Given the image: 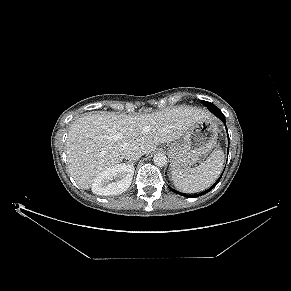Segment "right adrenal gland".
<instances>
[{
	"instance_id": "obj_1",
	"label": "right adrenal gland",
	"mask_w": 291,
	"mask_h": 291,
	"mask_svg": "<svg viewBox=\"0 0 291 291\" xmlns=\"http://www.w3.org/2000/svg\"><path fill=\"white\" fill-rule=\"evenodd\" d=\"M134 163H135L134 161H133V162H130V164H131L132 166L134 165Z\"/></svg>"
}]
</instances>
